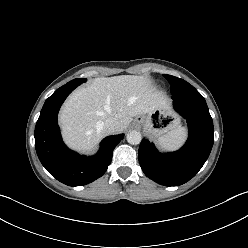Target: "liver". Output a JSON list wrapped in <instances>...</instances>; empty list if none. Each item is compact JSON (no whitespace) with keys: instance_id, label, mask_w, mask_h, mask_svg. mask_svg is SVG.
Returning <instances> with one entry per match:
<instances>
[{"instance_id":"6515ba94","label":"liver","mask_w":248,"mask_h":248,"mask_svg":"<svg viewBox=\"0 0 248 248\" xmlns=\"http://www.w3.org/2000/svg\"><path fill=\"white\" fill-rule=\"evenodd\" d=\"M167 108V98L146 77H99L68 97L61 109L59 122L64 139L71 148L91 152L107 135L103 129L106 119H117V132H122L134 116Z\"/></svg>"}]
</instances>
